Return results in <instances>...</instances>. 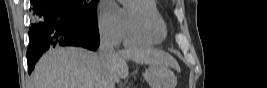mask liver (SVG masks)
I'll return each instance as SVG.
<instances>
[{"mask_svg":"<svg viewBox=\"0 0 267 88\" xmlns=\"http://www.w3.org/2000/svg\"><path fill=\"white\" fill-rule=\"evenodd\" d=\"M126 60L138 64L177 68L176 60L163 51L131 47L113 58L107 72L115 82L128 75ZM35 88H100L102 69L97 53L77 47L56 48L44 54L35 66Z\"/></svg>","mask_w":267,"mask_h":88,"instance_id":"obj_1","label":"liver"}]
</instances>
